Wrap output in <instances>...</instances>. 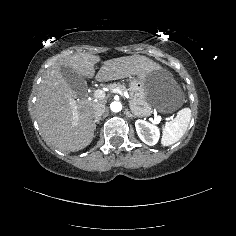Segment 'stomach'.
Returning a JSON list of instances; mask_svg holds the SVG:
<instances>
[{
  "label": "stomach",
  "mask_w": 236,
  "mask_h": 236,
  "mask_svg": "<svg viewBox=\"0 0 236 236\" xmlns=\"http://www.w3.org/2000/svg\"><path fill=\"white\" fill-rule=\"evenodd\" d=\"M129 92L130 109L136 117H148L154 109L172 113L185 101L180 85L163 68L149 72L143 79L132 77Z\"/></svg>",
  "instance_id": "stomach-1"
}]
</instances>
